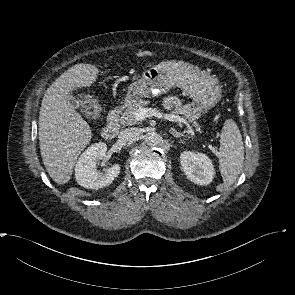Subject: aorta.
I'll use <instances>...</instances> for the list:
<instances>
[{"label": "aorta", "mask_w": 295, "mask_h": 295, "mask_svg": "<svg viewBox=\"0 0 295 295\" xmlns=\"http://www.w3.org/2000/svg\"><path fill=\"white\" fill-rule=\"evenodd\" d=\"M145 141L149 146H156L160 144L161 136L156 132H148Z\"/></svg>", "instance_id": "aorta-1"}]
</instances>
